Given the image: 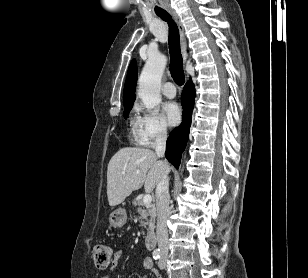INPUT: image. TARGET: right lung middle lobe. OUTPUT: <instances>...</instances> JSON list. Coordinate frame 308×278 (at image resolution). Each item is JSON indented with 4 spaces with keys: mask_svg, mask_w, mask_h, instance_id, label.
Returning a JSON list of instances; mask_svg holds the SVG:
<instances>
[{
    "mask_svg": "<svg viewBox=\"0 0 308 278\" xmlns=\"http://www.w3.org/2000/svg\"><path fill=\"white\" fill-rule=\"evenodd\" d=\"M132 105L131 103L129 104H124V117H126L128 115V113L130 112L131 108H132Z\"/></svg>",
    "mask_w": 308,
    "mask_h": 278,
    "instance_id": "right-lung-middle-lobe-1",
    "label": "right lung middle lobe"
}]
</instances>
